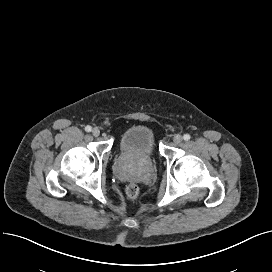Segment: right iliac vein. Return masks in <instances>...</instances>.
Instances as JSON below:
<instances>
[{
  "mask_svg": "<svg viewBox=\"0 0 272 272\" xmlns=\"http://www.w3.org/2000/svg\"><path fill=\"white\" fill-rule=\"evenodd\" d=\"M92 134H93V136H95V137L99 136V135H100V130H99V128H94V129L92 130Z\"/></svg>",
  "mask_w": 272,
  "mask_h": 272,
  "instance_id": "obj_1",
  "label": "right iliac vein"
}]
</instances>
